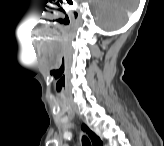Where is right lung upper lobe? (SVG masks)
Returning <instances> with one entry per match:
<instances>
[{"label": "right lung upper lobe", "instance_id": "cb5924a9", "mask_svg": "<svg viewBox=\"0 0 164 146\" xmlns=\"http://www.w3.org/2000/svg\"><path fill=\"white\" fill-rule=\"evenodd\" d=\"M83 129L89 134L94 146L102 145L100 138L96 136L86 125L83 126Z\"/></svg>", "mask_w": 164, "mask_h": 146}]
</instances>
